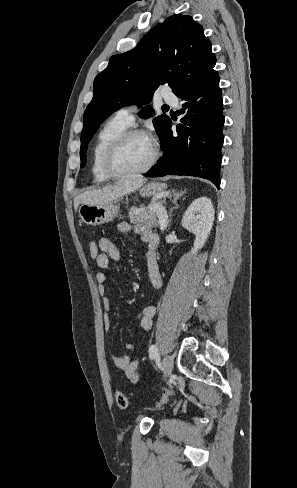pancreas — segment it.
Here are the masks:
<instances>
[{
	"instance_id": "1",
	"label": "pancreas",
	"mask_w": 297,
	"mask_h": 488,
	"mask_svg": "<svg viewBox=\"0 0 297 488\" xmlns=\"http://www.w3.org/2000/svg\"><path fill=\"white\" fill-rule=\"evenodd\" d=\"M160 204L158 202H151L147 207L141 206L139 208L132 207L129 209V221L134 224L144 223L149 226H157V211L155 206ZM162 205V204H160Z\"/></svg>"
}]
</instances>
